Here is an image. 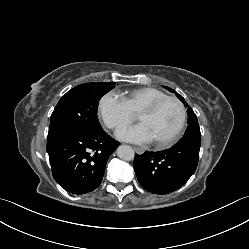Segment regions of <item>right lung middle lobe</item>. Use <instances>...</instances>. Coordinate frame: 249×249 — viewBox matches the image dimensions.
<instances>
[{"label": "right lung middle lobe", "instance_id": "dd1d6c3e", "mask_svg": "<svg viewBox=\"0 0 249 249\" xmlns=\"http://www.w3.org/2000/svg\"><path fill=\"white\" fill-rule=\"evenodd\" d=\"M113 88V82H95L81 84L68 91L51 115L47 142L72 133L101 130L96 115L98 103Z\"/></svg>", "mask_w": 249, "mask_h": 249}]
</instances>
